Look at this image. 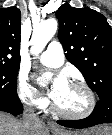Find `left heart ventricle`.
Returning <instances> with one entry per match:
<instances>
[{"label":"left heart ventricle","mask_w":112,"mask_h":135,"mask_svg":"<svg viewBox=\"0 0 112 135\" xmlns=\"http://www.w3.org/2000/svg\"><path fill=\"white\" fill-rule=\"evenodd\" d=\"M55 102L65 111L72 113L81 112L87 106L86 93L82 88L68 84L63 93L55 99Z\"/></svg>","instance_id":"left-heart-ventricle-1"}]
</instances>
